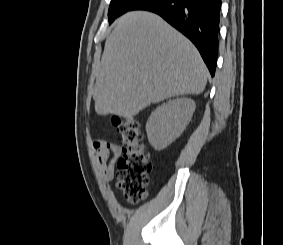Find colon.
<instances>
[{"label": "colon", "instance_id": "colon-1", "mask_svg": "<svg viewBox=\"0 0 283 245\" xmlns=\"http://www.w3.org/2000/svg\"><path fill=\"white\" fill-rule=\"evenodd\" d=\"M112 123L122 144L117 187L129 203L135 204L148 194L149 174L152 170L150 156L142 143L143 134L137 120L114 117Z\"/></svg>", "mask_w": 283, "mask_h": 245}]
</instances>
